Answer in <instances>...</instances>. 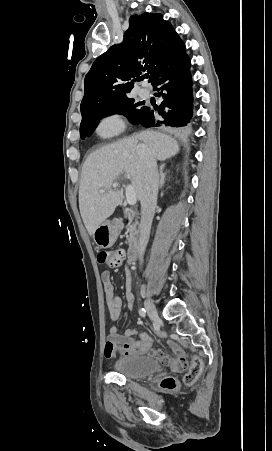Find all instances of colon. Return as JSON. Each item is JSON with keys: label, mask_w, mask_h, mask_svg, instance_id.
Here are the masks:
<instances>
[{"label": "colon", "mask_w": 272, "mask_h": 451, "mask_svg": "<svg viewBox=\"0 0 272 451\" xmlns=\"http://www.w3.org/2000/svg\"><path fill=\"white\" fill-rule=\"evenodd\" d=\"M94 258L96 262L107 264L112 268H119L124 258V251L122 249L103 251L96 253ZM177 347V345H173L171 349L176 350ZM158 359L163 364V367H175L176 370H186L185 382L187 385L193 382L195 374H202L203 372V358H190L189 361H186L182 352H179L175 358L160 353ZM161 386L165 390H171L175 386V380L168 376L161 381Z\"/></svg>", "instance_id": "colon-1"}]
</instances>
